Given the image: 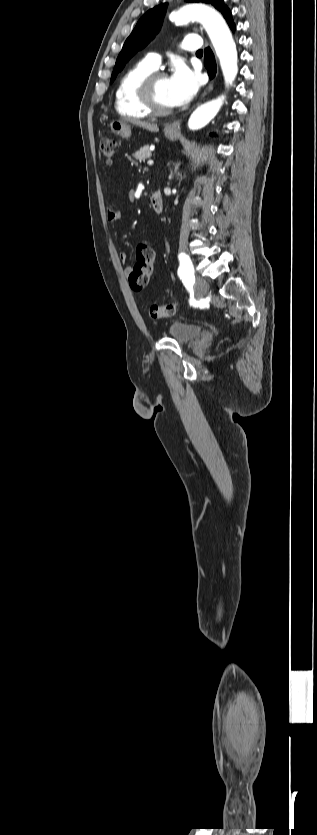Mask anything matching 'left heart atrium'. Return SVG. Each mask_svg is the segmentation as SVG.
<instances>
[{
  "label": "left heart atrium",
  "instance_id": "left-heart-atrium-1",
  "mask_svg": "<svg viewBox=\"0 0 317 835\" xmlns=\"http://www.w3.org/2000/svg\"><path fill=\"white\" fill-rule=\"evenodd\" d=\"M196 75L184 64H178L168 78V91L173 106L189 102L198 90Z\"/></svg>",
  "mask_w": 317,
  "mask_h": 835
}]
</instances>
